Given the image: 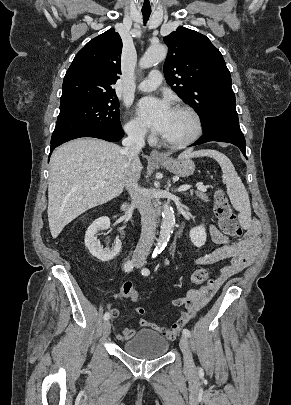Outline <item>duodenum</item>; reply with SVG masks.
Here are the masks:
<instances>
[{
    "mask_svg": "<svg viewBox=\"0 0 291 405\" xmlns=\"http://www.w3.org/2000/svg\"><path fill=\"white\" fill-rule=\"evenodd\" d=\"M127 209V205H123L122 210H126Z\"/></svg>",
    "mask_w": 291,
    "mask_h": 405,
    "instance_id": "duodenum-1",
    "label": "duodenum"
}]
</instances>
